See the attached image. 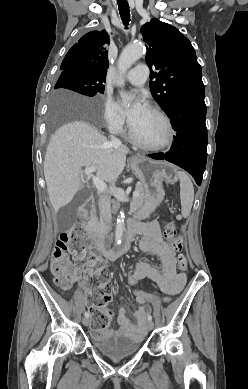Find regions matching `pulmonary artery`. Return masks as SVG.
I'll use <instances>...</instances> for the list:
<instances>
[{
    "label": "pulmonary artery",
    "mask_w": 248,
    "mask_h": 389,
    "mask_svg": "<svg viewBox=\"0 0 248 389\" xmlns=\"http://www.w3.org/2000/svg\"><path fill=\"white\" fill-rule=\"evenodd\" d=\"M149 76V69L146 64H139L135 68L128 71L125 75L126 79L133 85H143Z\"/></svg>",
    "instance_id": "e3ab8cb5"
}]
</instances>
